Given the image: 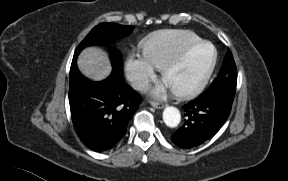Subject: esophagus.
<instances>
[{
    "instance_id": "esophagus-1",
    "label": "esophagus",
    "mask_w": 288,
    "mask_h": 181,
    "mask_svg": "<svg viewBox=\"0 0 288 181\" xmlns=\"http://www.w3.org/2000/svg\"><path fill=\"white\" fill-rule=\"evenodd\" d=\"M151 105L156 109H163L165 107L164 104L159 103V102H154V101L151 102Z\"/></svg>"
}]
</instances>
